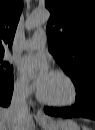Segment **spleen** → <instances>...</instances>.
I'll use <instances>...</instances> for the list:
<instances>
[{
	"label": "spleen",
	"mask_w": 95,
	"mask_h": 130,
	"mask_svg": "<svg viewBox=\"0 0 95 130\" xmlns=\"http://www.w3.org/2000/svg\"><path fill=\"white\" fill-rule=\"evenodd\" d=\"M83 130H89L87 127H82Z\"/></svg>",
	"instance_id": "spleen-1"
}]
</instances>
